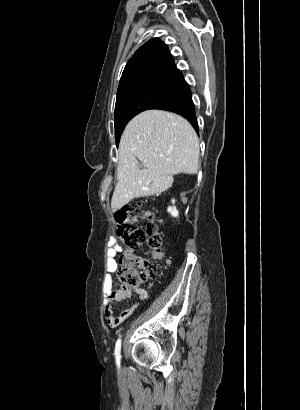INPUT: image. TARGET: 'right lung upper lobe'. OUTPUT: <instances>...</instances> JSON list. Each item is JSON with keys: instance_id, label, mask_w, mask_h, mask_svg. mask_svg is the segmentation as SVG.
<instances>
[{"instance_id": "1", "label": "right lung upper lobe", "mask_w": 300, "mask_h": 410, "mask_svg": "<svg viewBox=\"0 0 300 410\" xmlns=\"http://www.w3.org/2000/svg\"><path fill=\"white\" fill-rule=\"evenodd\" d=\"M185 82L168 47L158 38L142 45L126 64L118 92L139 83ZM117 92V93H118Z\"/></svg>"}]
</instances>
